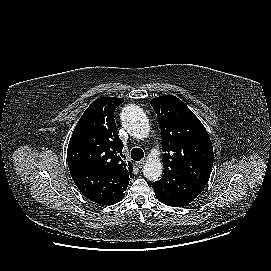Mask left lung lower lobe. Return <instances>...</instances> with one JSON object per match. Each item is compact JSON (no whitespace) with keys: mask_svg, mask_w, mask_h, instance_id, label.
Instances as JSON below:
<instances>
[{"mask_svg":"<svg viewBox=\"0 0 271 271\" xmlns=\"http://www.w3.org/2000/svg\"><path fill=\"white\" fill-rule=\"evenodd\" d=\"M204 188L179 172L164 173L161 180L153 183V190L157 198L172 207L188 205Z\"/></svg>","mask_w":271,"mask_h":271,"instance_id":"obj_1","label":"left lung lower lobe"}]
</instances>
